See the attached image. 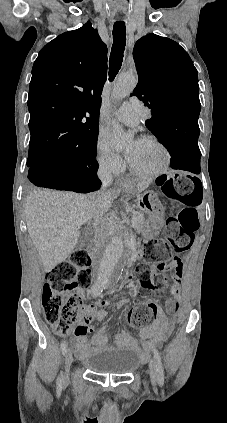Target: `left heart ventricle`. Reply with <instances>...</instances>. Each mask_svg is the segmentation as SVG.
<instances>
[{
	"mask_svg": "<svg viewBox=\"0 0 227 423\" xmlns=\"http://www.w3.org/2000/svg\"><path fill=\"white\" fill-rule=\"evenodd\" d=\"M133 166L141 172H152L163 163L162 150L153 143L133 141L126 150Z\"/></svg>",
	"mask_w": 227,
	"mask_h": 423,
	"instance_id": "obj_1",
	"label": "left heart ventricle"
}]
</instances>
